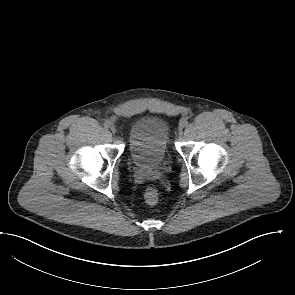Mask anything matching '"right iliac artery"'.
<instances>
[{
	"mask_svg": "<svg viewBox=\"0 0 295 295\" xmlns=\"http://www.w3.org/2000/svg\"><path fill=\"white\" fill-rule=\"evenodd\" d=\"M110 126H111L110 122H108V121L104 122V127L105 128L108 129Z\"/></svg>",
	"mask_w": 295,
	"mask_h": 295,
	"instance_id": "82829eb1",
	"label": "right iliac artery"
}]
</instances>
